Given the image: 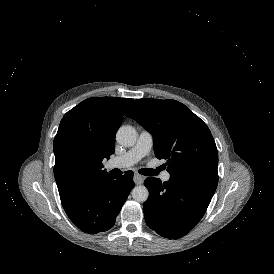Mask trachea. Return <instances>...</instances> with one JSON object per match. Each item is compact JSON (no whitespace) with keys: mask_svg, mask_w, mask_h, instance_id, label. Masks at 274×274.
Masks as SVG:
<instances>
[{"mask_svg":"<svg viewBox=\"0 0 274 274\" xmlns=\"http://www.w3.org/2000/svg\"><path fill=\"white\" fill-rule=\"evenodd\" d=\"M115 170H117V169H115ZM161 170H162L161 167L158 168L157 171H155L153 169L145 168V169H141L139 171V173L142 174V175H145V176H156L158 174V172L161 171ZM119 174H120V171H119Z\"/></svg>","mask_w":274,"mask_h":274,"instance_id":"trachea-1","label":"trachea"}]
</instances>
